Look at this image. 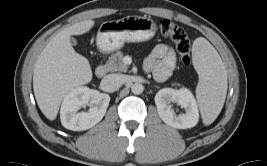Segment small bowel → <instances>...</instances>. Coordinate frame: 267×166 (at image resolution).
<instances>
[{"mask_svg": "<svg viewBox=\"0 0 267 166\" xmlns=\"http://www.w3.org/2000/svg\"><path fill=\"white\" fill-rule=\"evenodd\" d=\"M176 64L174 50L166 44L157 45L144 62V70L151 72L157 81L166 80Z\"/></svg>", "mask_w": 267, "mask_h": 166, "instance_id": "obj_1", "label": "small bowel"}]
</instances>
